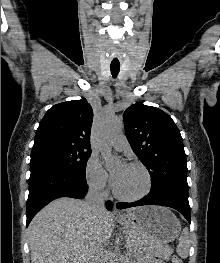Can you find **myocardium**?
<instances>
[{"instance_id": "myocardium-1", "label": "myocardium", "mask_w": 220, "mask_h": 263, "mask_svg": "<svg viewBox=\"0 0 220 263\" xmlns=\"http://www.w3.org/2000/svg\"><path fill=\"white\" fill-rule=\"evenodd\" d=\"M128 165L137 166V167L142 169V171L144 172V174L146 176V188H145V190L142 193L138 194V195L126 196V195L121 194L117 190V188L115 186V182L113 180V182H112V191H113L114 196L116 198L122 200V201L135 202V201H139V200L145 198L150 193L151 188H152V176H151V173L148 170V168L143 163H141L139 161H132Z\"/></svg>"}]
</instances>
